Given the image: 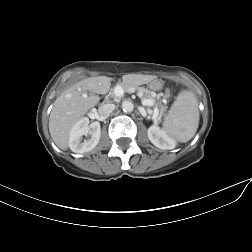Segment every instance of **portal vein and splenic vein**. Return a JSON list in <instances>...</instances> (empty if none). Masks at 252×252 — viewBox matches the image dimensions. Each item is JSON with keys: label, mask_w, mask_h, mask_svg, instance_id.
<instances>
[{"label": "portal vein and splenic vein", "mask_w": 252, "mask_h": 252, "mask_svg": "<svg viewBox=\"0 0 252 252\" xmlns=\"http://www.w3.org/2000/svg\"><path fill=\"white\" fill-rule=\"evenodd\" d=\"M129 91H130V92H134L133 89H130ZM114 93H115L116 96L120 97V96H123L124 90H123V88H122L121 86H117V87L115 88ZM138 96H139L140 98H142V95H141V94H138ZM142 104H143V105H149V102H148L147 100H145V99H142ZM157 116H158V110L156 109V110L154 111V114H153V119H156Z\"/></svg>", "instance_id": "1"}]
</instances>
